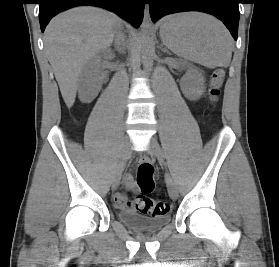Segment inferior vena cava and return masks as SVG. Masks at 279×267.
Returning a JSON list of instances; mask_svg holds the SVG:
<instances>
[{
	"label": "inferior vena cava",
	"mask_w": 279,
	"mask_h": 267,
	"mask_svg": "<svg viewBox=\"0 0 279 267\" xmlns=\"http://www.w3.org/2000/svg\"><path fill=\"white\" fill-rule=\"evenodd\" d=\"M115 43L119 51L124 49V34L122 33L121 27L116 31Z\"/></svg>",
	"instance_id": "obj_1"
}]
</instances>
